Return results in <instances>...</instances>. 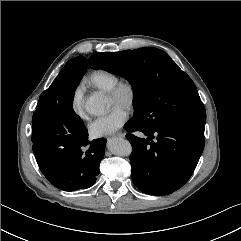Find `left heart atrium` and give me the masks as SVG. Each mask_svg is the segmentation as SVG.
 <instances>
[{
  "label": "left heart atrium",
  "instance_id": "obj_1",
  "mask_svg": "<svg viewBox=\"0 0 241 241\" xmlns=\"http://www.w3.org/2000/svg\"><path fill=\"white\" fill-rule=\"evenodd\" d=\"M128 114L125 107L114 106L110 113L98 117L89 125V133L93 138H100L114 134L127 121Z\"/></svg>",
  "mask_w": 241,
  "mask_h": 241
}]
</instances>
